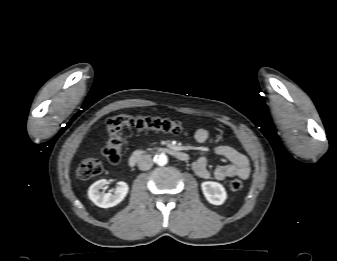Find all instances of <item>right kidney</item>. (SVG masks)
<instances>
[{
    "mask_svg": "<svg viewBox=\"0 0 337 261\" xmlns=\"http://www.w3.org/2000/svg\"><path fill=\"white\" fill-rule=\"evenodd\" d=\"M108 181L101 179L93 183L88 190L89 199L98 207L109 208L119 204L127 195L129 187L125 182H118L114 194L111 192L102 194L103 189Z\"/></svg>",
    "mask_w": 337,
    "mask_h": 261,
    "instance_id": "ca27d5eb",
    "label": "right kidney"
}]
</instances>
